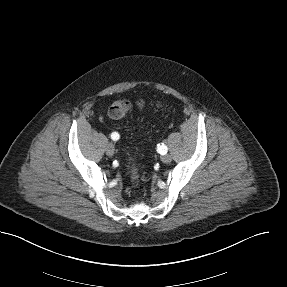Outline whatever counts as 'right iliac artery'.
Here are the masks:
<instances>
[{"instance_id":"obj_1","label":"right iliac artery","mask_w":287,"mask_h":287,"mask_svg":"<svg viewBox=\"0 0 287 287\" xmlns=\"http://www.w3.org/2000/svg\"><path fill=\"white\" fill-rule=\"evenodd\" d=\"M111 138H112V140L117 141L120 138V136L117 132H113L111 134Z\"/></svg>"}]
</instances>
